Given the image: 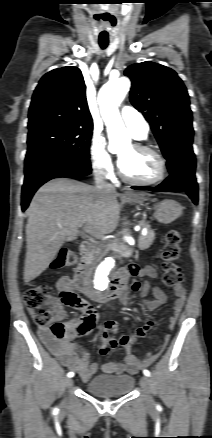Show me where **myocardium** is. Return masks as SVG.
<instances>
[{
  "label": "myocardium",
  "mask_w": 212,
  "mask_h": 438,
  "mask_svg": "<svg viewBox=\"0 0 212 438\" xmlns=\"http://www.w3.org/2000/svg\"><path fill=\"white\" fill-rule=\"evenodd\" d=\"M133 148L138 150V151H142V152H147L152 154L153 156L156 157V159L158 160V165H159V173L158 175L151 179V180H146V181H138V180H134L131 179L130 177H128L124 171L121 168V165L119 166V175L121 177V179L123 181H125L126 183H129L131 185H136V186H151L157 183H160L161 181L164 180L166 173H167V164L166 161L164 159V157L162 156V154L160 152H158L157 150H155L154 148L147 146V145H143L140 143H136L133 145Z\"/></svg>",
  "instance_id": "myocardium-1"
}]
</instances>
